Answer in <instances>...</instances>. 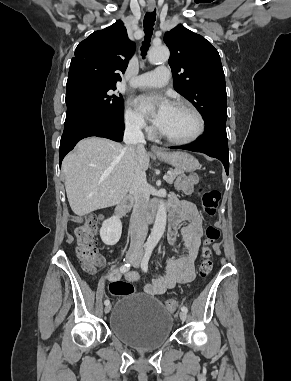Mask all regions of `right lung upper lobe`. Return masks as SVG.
<instances>
[{
	"label": "right lung upper lobe",
	"instance_id": "cb5924a9",
	"mask_svg": "<svg viewBox=\"0 0 291 381\" xmlns=\"http://www.w3.org/2000/svg\"><path fill=\"white\" fill-rule=\"evenodd\" d=\"M135 50L122 21L93 32L79 43L70 63L68 80L85 78L99 83L121 81L128 60Z\"/></svg>",
	"mask_w": 291,
	"mask_h": 381
}]
</instances>
